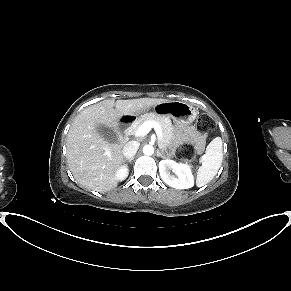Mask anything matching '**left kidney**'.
Masks as SVG:
<instances>
[{"label":"left kidney","mask_w":291,"mask_h":291,"mask_svg":"<svg viewBox=\"0 0 291 291\" xmlns=\"http://www.w3.org/2000/svg\"><path fill=\"white\" fill-rule=\"evenodd\" d=\"M159 172L162 180L176 189H189L194 186V177L188 164L177 163L173 160H161ZM175 173L176 176L171 174Z\"/></svg>","instance_id":"left-kidney-1"}]
</instances>
